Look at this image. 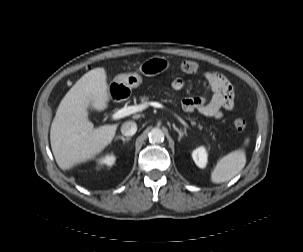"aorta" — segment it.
<instances>
[{
    "label": "aorta",
    "instance_id": "aorta-1",
    "mask_svg": "<svg viewBox=\"0 0 303 252\" xmlns=\"http://www.w3.org/2000/svg\"><path fill=\"white\" fill-rule=\"evenodd\" d=\"M149 140L151 142L160 143L164 140V133L159 128H153L149 133Z\"/></svg>",
    "mask_w": 303,
    "mask_h": 252
}]
</instances>
